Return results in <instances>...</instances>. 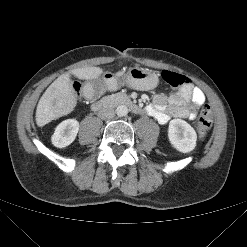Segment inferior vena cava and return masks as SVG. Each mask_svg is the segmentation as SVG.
<instances>
[{"label":"inferior vena cava","instance_id":"obj_1","mask_svg":"<svg viewBox=\"0 0 247 247\" xmlns=\"http://www.w3.org/2000/svg\"><path fill=\"white\" fill-rule=\"evenodd\" d=\"M114 116H115V111L113 108H102L98 112V117L103 120H110L114 118Z\"/></svg>","mask_w":247,"mask_h":247}]
</instances>
